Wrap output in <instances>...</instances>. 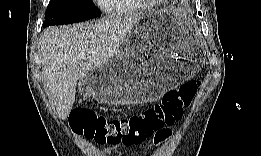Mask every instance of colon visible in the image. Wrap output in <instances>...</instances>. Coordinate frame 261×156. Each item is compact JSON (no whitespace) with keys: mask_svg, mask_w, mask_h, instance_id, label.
<instances>
[{"mask_svg":"<svg viewBox=\"0 0 261 156\" xmlns=\"http://www.w3.org/2000/svg\"><path fill=\"white\" fill-rule=\"evenodd\" d=\"M199 87L200 81H187L154 106L121 118L109 119L91 109L78 108L70 115V125L79 135L100 144L136 145L153 138L158 145L169 136L167 127L190 106Z\"/></svg>","mask_w":261,"mask_h":156,"instance_id":"colon-1","label":"colon"}]
</instances>
